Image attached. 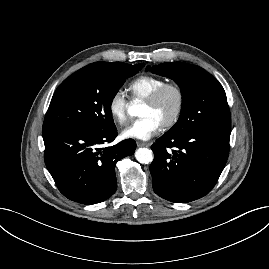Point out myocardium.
I'll return each mask as SVG.
<instances>
[{
  "mask_svg": "<svg viewBox=\"0 0 269 269\" xmlns=\"http://www.w3.org/2000/svg\"><path fill=\"white\" fill-rule=\"evenodd\" d=\"M168 90H172L176 93L177 106L171 118L162 125V129L164 130H168L174 127L178 123V121L180 120L183 114L185 102H186V95H185L184 88L182 87L181 84L177 82H166L162 84L161 86H159L158 88H156L146 98H144L145 103L149 105H154L160 100L163 94Z\"/></svg>",
  "mask_w": 269,
  "mask_h": 269,
  "instance_id": "f54148a6",
  "label": "myocardium"
}]
</instances>
